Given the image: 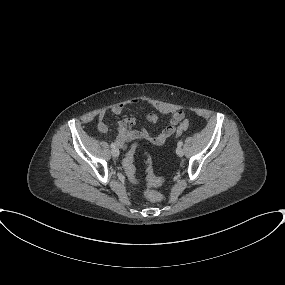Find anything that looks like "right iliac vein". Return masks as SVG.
Returning a JSON list of instances; mask_svg holds the SVG:
<instances>
[{
  "instance_id": "obj_1",
  "label": "right iliac vein",
  "mask_w": 285,
  "mask_h": 285,
  "mask_svg": "<svg viewBox=\"0 0 285 285\" xmlns=\"http://www.w3.org/2000/svg\"><path fill=\"white\" fill-rule=\"evenodd\" d=\"M111 154L113 157H118L119 156V150L118 148H114L111 150Z\"/></svg>"
}]
</instances>
